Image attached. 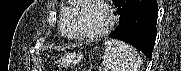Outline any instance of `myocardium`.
Returning a JSON list of instances; mask_svg holds the SVG:
<instances>
[{"mask_svg": "<svg viewBox=\"0 0 181 71\" xmlns=\"http://www.w3.org/2000/svg\"><path fill=\"white\" fill-rule=\"evenodd\" d=\"M69 2H75L77 4V7L73 13L72 20H71V30H72V38L77 40H96L99 38L104 37L106 34H108L115 26L116 24V15L113 10V8L109 5L107 1L103 0H72ZM89 3H95L99 5L101 8H103L107 15H108V22L104 28L99 30L98 32L92 33V34H84L79 32L78 30V20H79V14L83 7Z\"/></svg>", "mask_w": 181, "mask_h": 71, "instance_id": "myocardium-1", "label": "myocardium"}]
</instances>
